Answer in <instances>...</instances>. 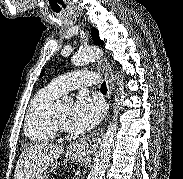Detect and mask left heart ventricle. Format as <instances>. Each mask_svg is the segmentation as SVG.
<instances>
[{
    "mask_svg": "<svg viewBox=\"0 0 183 179\" xmlns=\"http://www.w3.org/2000/svg\"><path fill=\"white\" fill-rule=\"evenodd\" d=\"M71 106H64L57 110L60 120L63 122V124L68 127V119L71 113Z\"/></svg>",
    "mask_w": 183,
    "mask_h": 179,
    "instance_id": "left-heart-ventricle-1",
    "label": "left heart ventricle"
}]
</instances>
